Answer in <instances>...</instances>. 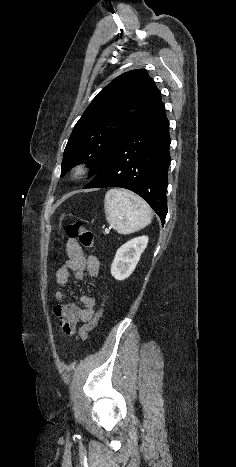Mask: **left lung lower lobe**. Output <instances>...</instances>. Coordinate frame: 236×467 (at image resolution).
<instances>
[{
  "label": "left lung lower lobe",
  "instance_id": "left-lung-lower-lobe-1",
  "mask_svg": "<svg viewBox=\"0 0 236 467\" xmlns=\"http://www.w3.org/2000/svg\"><path fill=\"white\" fill-rule=\"evenodd\" d=\"M169 121L160 102L116 143L95 178L84 188L122 187L140 195L158 214H167Z\"/></svg>",
  "mask_w": 236,
  "mask_h": 467
}]
</instances>
